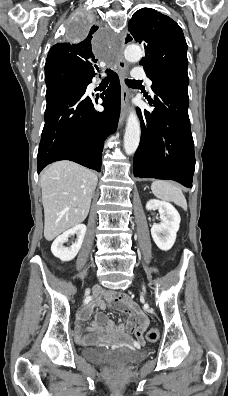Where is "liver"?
Wrapping results in <instances>:
<instances>
[{"label":"liver","instance_id":"6515ba94","mask_svg":"<svg viewBox=\"0 0 228 396\" xmlns=\"http://www.w3.org/2000/svg\"><path fill=\"white\" fill-rule=\"evenodd\" d=\"M97 175L74 162L58 161L41 174L44 237L53 240L87 217Z\"/></svg>","mask_w":228,"mask_h":396}]
</instances>
